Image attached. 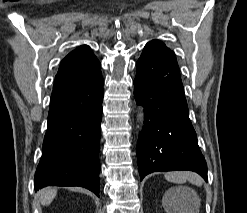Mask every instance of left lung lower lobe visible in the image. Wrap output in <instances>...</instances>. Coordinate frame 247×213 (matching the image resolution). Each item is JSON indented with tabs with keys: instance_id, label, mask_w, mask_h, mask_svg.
<instances>
[{
	"instance_id": "obj_1",
	"label": "left lung lower lobe",
	"mask_w": 247,
	"mask_h": 213,
	"mask_svg": "<svg viewBox=\"0 0 247 213\" xmlns=\"http://www.w3.org/2000/svg\"><path fill=\"white\" fill-rule=\"evenodd\" d=\"M136 69L134 96L145 114L137 144L140 179L152 172L190 170L207 182L175 55L140 57Z\"/></svg>"
}]
</instances>
